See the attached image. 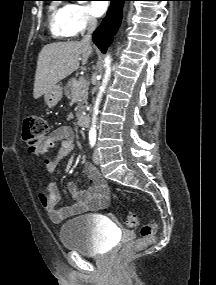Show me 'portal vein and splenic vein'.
<instances>
[{
    "instance_id": "portal-vein-and-splenic-vein-1",
    "label": "portal vein and splenic vein",
    "mask_w": 216,
    "mask_h": 285,
    "mask_svg": "<svg viewBox=\"0 0 216 285\" xmlns=\"http://www.w3.org/2000/svg\"><path fill=\"white\" fill-rule=\"evenodd\" d=\"M81 85H82V79L79 80V81H75L74 85H73L74 86V90L75 91L78 90Z\"/></svg>"
}]
</instances>
